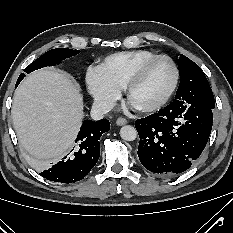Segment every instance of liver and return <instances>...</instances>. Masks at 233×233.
<instances>
[{"instance_id":"6515ba94","label":"liver","mask_w":233,"mask_h":233,"mask_svg":"<svg viewBox=\"0 0 233 233\" xmlns=\"http://www.w3.org/2000/svg\"><path fill=\"white\" fill-rule=\"evenodd\" d=\"M11 114L22 147L37 159L50 160L74 143L83 120V99L67 74L41 69L20 84Z\"/></svg>"}]
</instances>
